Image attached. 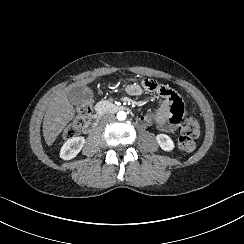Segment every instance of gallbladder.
I'll use <instances>...</instances> for the list:
<instances>
[{
  "mask_svg": "<svg viewBox=\"0 0 244 244\" xmlns=\"http://www.w3.org/2000/svg\"><path fill=\"white\" fill-rule=\"evenodd\" d=\"M93 93L88 88L72 87L69 91V98L75 105H83L85 101L90 100Z\"/></svg>",
  "mask_w": 244,
  "mask_h": 244,
  "instance_id": "bac80fb5",
  "label": "gallbladder"
}]
</instances>
